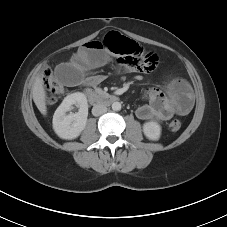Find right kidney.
<instances>
[{"mask_svg": "<svg viewBox=\"0 0 227 227\" xmlns=\"http://www.w3.org/2000/svg\"><path fill=\"white\" fill-rule=\"evenodd\" d=\"M72 105L79 107L77 113L66 115ZM88 117L87 98L83 93L76 92L66 96L53 116V129L62 139L77 138L84 130Z\"/></svg>", "mask_w": 227, "mask_h": 227, "instance_id": "1", "label": "right kidney"}]
</instances>
